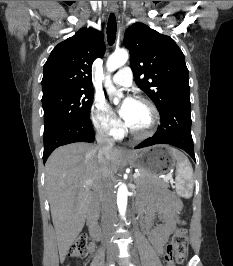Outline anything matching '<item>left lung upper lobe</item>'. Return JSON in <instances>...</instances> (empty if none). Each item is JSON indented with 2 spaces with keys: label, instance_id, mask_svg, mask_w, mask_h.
<instances>
[{
  "label": "left lung upper lobe",
  "instance_id": "1",
  "mask_svg": "<svg viewBox=\"0 0 233 266\" xmlns=\"http://www.w3.org/2000/svg\"><path fill=\"white\" fill-rule=\"evenodd\" d=\"M124 45L130 51L136 84L151 98L159 112L169 102L189 97L185 58L172 38L136 23L126 30Z\"/></svg>",
  "mask_w": 233,
  "mask_h": 266
}]
</instances>
